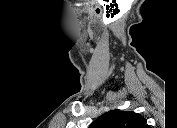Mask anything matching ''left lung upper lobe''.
Segmentation results:
<instances>
[{
  "instance_id": "5c2ea615",
  "label": "left lung upper lobe",
  "mask_w": 177,
  "mask_h": 128,
  "mask_svg": "<svg viewBox=\"0 0 177 128\" xmlns=\"http://www.w3.org/2000/svg\"><path fill=\"white\" fill-rule=\"evenodd\" d=\"M94 128H147L143 117L133 111H109L92 124Z\"/></svg>"
}]
</instances>
